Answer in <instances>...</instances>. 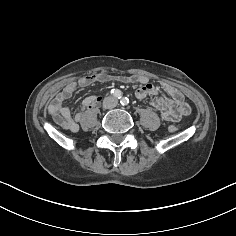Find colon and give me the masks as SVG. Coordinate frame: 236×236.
Wrapping results in <instances>:
<instances>
[{"label": "colon", "instance_id": "colon-1", "mask_svg": "<svg viewBox=\"0 0 236 236\" xmlns=\"http://www.w3.org/2000/svg\"><path fill=\"white\" fill-rule=\"evenodd\" d=\"M169 129H170L171 131H176V127H175V126H170Z\"/></svg>", "mask_w": 236, "mask_h": 236}]
</instances>
